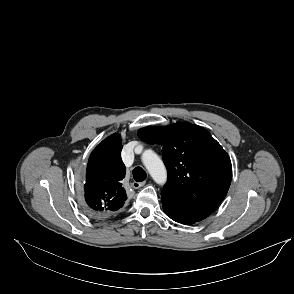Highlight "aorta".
Returning <instances> with one entry per match:
<instances>
[{"instance_id":"762f6f07","label":"aorta","mask_w":294,"mask_h":294,"mask_svg":"<svg viewBox=\"0 0 294 294\" xmlns=\"http://www.w3.org/2000/svg\"><path fill=\"white\" fill-rule=\"evenodd\" d=\"M142 162L156 183L164 184L166 182V168L155 152L152 150L144 151L142 154Z\"/></svg>"}]
</instances>
